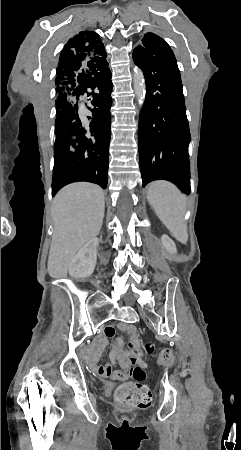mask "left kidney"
<instances>
[{"mask_svg": "<svg viewBox=\"0 0 241 450\" xmlns=\"http://www.w3.org/2000/svg\"><path fill=\"white\" fill-rule=\"evenodd\" d=\"M161 242H162L165 250H167V252H169V254H176L177 248H176L173 240H171V238H169V236H166V234H163V236L161 238Z\"/></svg>", "mask_w": 241, "mask_h": 450, "instance_id": "obj_1", "label": "left kidney"}]
</instances>
